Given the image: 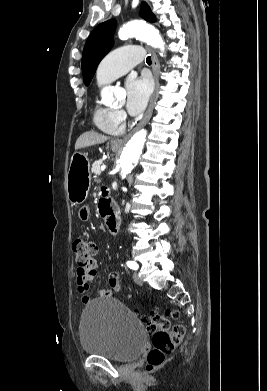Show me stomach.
Returning a JSON list of instances; mask_svg holds the SVG:
<instances>
[{
    "instance_id": "1",
    "label": "stomach",
    "mask_w": 267,
    "mask_h": 391,
    "mask_svg": "<svg viewBox=\"0 0 267 391\" xmlns=\"http://www.w3.org/2000/svg\"><path fill=\"white\" fill-rule=\"evenodd\" d=\"M113 151L119 148L111 146ZM90 162L85 154H73L67 174V196L73 205L82 204L87 198L90 188Z\"/></svg>"
}]
</instances>
